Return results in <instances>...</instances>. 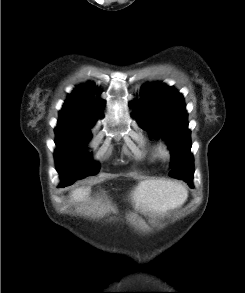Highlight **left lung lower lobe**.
Returning a JSON list of instances; mask_svg holds the SVG:
<instances>
[{
    "mask_svg": "<svg viewBox=\"0 0 245 293\" xmlns=\"http://www.w3.org/2000/svg\"><path fill=\"white\" fill-rule=\"evenodd\" d=\"M180 179L184 180L191 188H193V176L185 174L182 175Z\"/></svg>",
    "mask_w": 245,
    "mask_h": 293,
    "instance_id": "1",
    "label": "left lung lower lobe"
}]
</instances>
